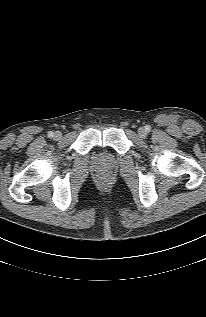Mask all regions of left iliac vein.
<instances>
[{
    "instance_id": "4c4485c4",
    "label": "left iliac vein",
    "mask_w": 206,
    "mask_h": 317,
    "mask_svg": "<svg viewBox=\"0 0 206 317\" xmlns=\"http://www.w3.org/2000/svg\"><path fill=\"white\" fill-rule=\"evenodd\" d=\"M138 134H139L140 137L144 138L146 136L147 132H146V130L144 128H140L138 130Z\"/></svg>"
}]
</instances>
